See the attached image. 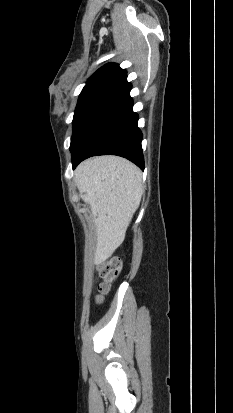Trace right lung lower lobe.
Here are the masks:
<instances>
[{
  "instance_id": "obj_1",
  "label": "right lung lower lobe",
  "mask_w": 233,
  "mask_h": 413,
  "mask_svg": "<svg viewBox=\"0 0 233 413\" xmlns=\"http://www.w3.org/2000/svg\"><path fill=\"white\" fill-rule=\"evenodd\" d=\"M131 88L127 76L118 79L94 109L71 149L73 168L88 157L113 154L144 169L142 133L132 110Z\"/></svg>"
}]
</instances>
